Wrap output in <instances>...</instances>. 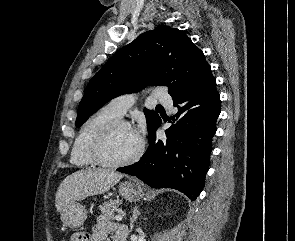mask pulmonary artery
Here are the masks:
<instances>
[{
    "instance_id": "obj_1",
    "label": "pulmonary artery",
    "mask_w": 295,
    "mask_h": 241,
    "mask_svg": "<svg viewBox=\"0 0 295 241\" xmlns=\"http://www.w3.org/2000/svg\"><path fill=\"white\" fill-rule=\"evenodd\" d=\"M136 98V94H123L111 99L106 105V108L121 117L135 103ZM155 98L167 108L171 109L173 107L172 98L165 90L156 89Z\"/></svg>"
}]
</instances>
